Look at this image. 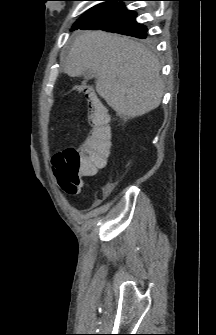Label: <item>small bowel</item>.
<instances>
[{"instance_id":"1","label":"small bowel","mask_w":216,"mask_h":335,"mask_svg":"<svg viewBox=\"0 0 216 335\" xmlns=\"http://www.w3.org/2000/svg\"><path fill=\"white\" fill-rule=\"evenodd\" d=\"M108 141V140H107ZM85 159H89V156L85 157ZM84 179H88V178H84ZM82 187V185H79V189Z\"/></svg>"}]
</instances>
